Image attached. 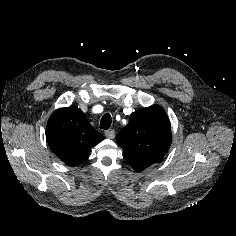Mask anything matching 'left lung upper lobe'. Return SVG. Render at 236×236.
I'll return each mask as SVG.
<instances>
[{
	"label": "left lung upper lobe",
	"mask_w": 236,
	"mask_h": 236,
	"mask_svg": "<svg viewBox=\"0 0 236 236\" xmlns=\"http://www.w3.org/2000/svg\"><path fill=\"white\" fill-rule=\"evenodd\" d=\"M116 141L132 167H149L160 162L172 141L166 113L157 105L135 111Z\"/></svg>",
	"instance_id": "5c2ea615"
}]
</instances>
